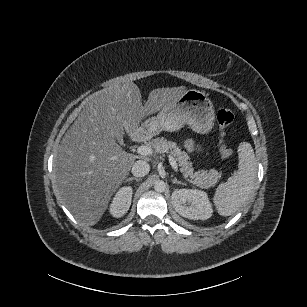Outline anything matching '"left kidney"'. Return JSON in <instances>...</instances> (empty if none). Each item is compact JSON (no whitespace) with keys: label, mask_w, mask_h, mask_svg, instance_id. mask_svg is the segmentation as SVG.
<instances>
[{"label":"left kidney","mask_w":307,"mask_h":307,"mask_svg":"<svg viewBox=\"0 0 307 307\" xmlns=\"http://www.w3.org/2000/svg\"><path fill=\"white\" fill-rule=\"evenodd\" d=\"M172 205L181 216L192 220H206L212 215L207 193L198 189H177L172 193Z\"/></svg>","instance_id":"obj_1"}]
</instances>
